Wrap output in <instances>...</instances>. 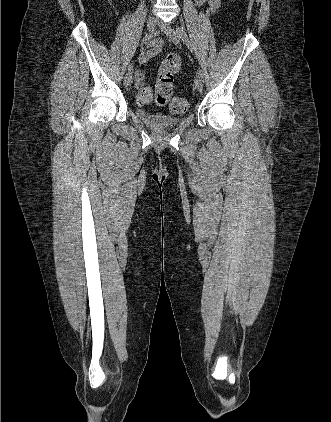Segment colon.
Returning <instances> with one entry per match:
<instances>
[{"label":"colon","instance_id":"colon-1","mask_svg":"<svg viewBox=\"0 0 331 422\" xmlns=\"http://www.w3.org/2000/svg\"><path fill=\"white\" fill-rule=\"evenodd\" d=\"M181 60L177 54H169L162 61L157 78L155 100L159 106L165 105L171 100L170 111L178 114L187 109V101L183 98L175 97L171 99L173 92V82L179 73ZM142 105L149 102L147 97H140Z\"/></svg>","mask_w":331,"mask_h":422}]
</instances>
